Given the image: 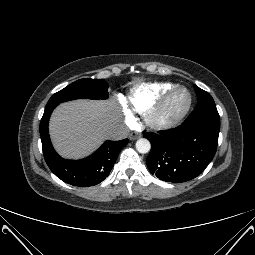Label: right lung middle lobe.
<instances>
[{
    "label": "right lung middle lobe",
    "instance_id": "obj_1",
    "mask_svg": "<svg viewBox=\"0 0 255 255\" xmlns=\"http://www.w3.org/2000/svg\"><path fill=\"white\" fill-rule=\"evenodd\" d=\"M107 89L108 84L103 79H80L55 93L47 106L81 98L106 99L109 96Z\"/></svg>",
    "mask_w": 255,
    "mask_h": 255
}]
</instances>
